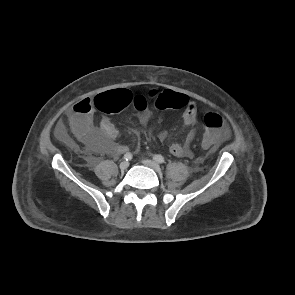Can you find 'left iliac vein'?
<instances>
[{
    "instance_id": "1",
    "label": "left iliac vein",
    "mask_w": 295,
    "mask_h": 295,
    "mask_svg": "<svg viewBox=\"0 0 295 295\" xmlns=\"http://www.w3.org/2000/svg\"><path fill=\"white\" fill-rule=\"evenodd\" d=\"M142 163L147 166L152 168L154 171L160 173L161 172V167L158 163H156L155 161L149 160V159H144L142 160Z\"/></svg>"
}]
</instances>
